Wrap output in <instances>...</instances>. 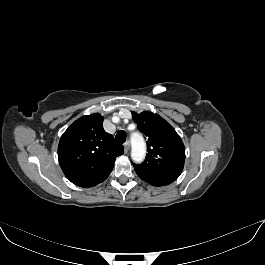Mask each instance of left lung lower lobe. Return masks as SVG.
Listing matches in <instances>:
<instances>
[{
	"mask_svg": "<svg viewBox=\"0 0 265 265\" xmlns=\"http://www.w3.org/2000/svg\"><path fill=\"white\" fill-rule=\"evenodd\" d=\"M142 180L148 182L149 184L151 185H154V186H164V185H168L172 182L170 181H165V180H154V179H148V178H145V177H142V176H139Z\"/></svg>",
	"mask_w": 265,
	"mask_h": 265,
	"instance_id": "left-lung-lower-lobe-1",
	"label": "left lung lower lobe"
}]
</instances>
